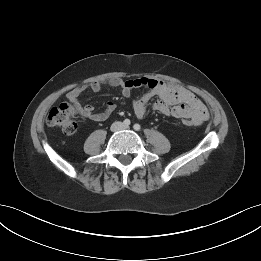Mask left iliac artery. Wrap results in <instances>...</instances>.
<instances>
[{
	"mask_svg": "<svg viewBox=\"0 0 261 261\" xmlns=\"http://www.w3.org/2000/svg\"><path fill=\"white\" fill-rule=\"evenodd\" d=\"M133 128H134L136 131H139L141 127H140L139 124H134Z\"/></svg>",
	"mask_w": 261,
	"mask_h": 261,
	"instance_id": "left-iliac-artery-1",
	"label": "left iliac artery"
}]
</instances>
